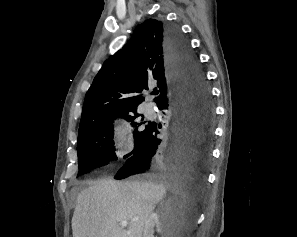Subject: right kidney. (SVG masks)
Masks as SVG:
<instances>
[{
    "label": "right kidney",
    "mask_w": 297,
    "mask_h": 237,
    "mask_svg": "<svg viewBox=\"0 0 297 237\" xmlns=\"http://www.w3.org/2000/svg\"><path fill=\"white\" fill-rule=\"evenodd\" d=\"M155 229L162 231L164 237H172V234L165 229L164 224L160 220V215L157 212L152 213L145 222L143 237H154Z\"/></svg>",
    "instance_id": "1"
}]
</instances>
